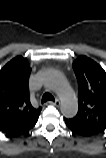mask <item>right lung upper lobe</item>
<instances>
[{"mask_svg":"<svg viewBox=\"0 0 106 158\" xmlns=\"http://www.w3.org/2000/svg\"><path fill=\"white\" fill-rule=\"evenodd\" d=\"M31 67L26 58L15 57L0 71V131L16 137L36 124L41 107L32 106L28 80Z\"/></svg>","mask_w":106,"mask_h":158,"instance_id":"cb5924a9","label":"right lung upper lobe"}]
</instances>
